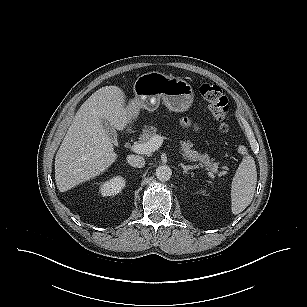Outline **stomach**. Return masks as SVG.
Returning <instances> with one entry per match:
<instances>
[{"label": "stomach", "mask_w": 307, "mask_h": 307, "mask_svg": "<svg viewBox=\"0 0 307 307\" xmlns=\"http://www.w3.org/2000/svg\"><path fill=\"white\" fill-rule=\"evenodd\" d=\"M133 91L135 97L126 106L131 113L130 121L139 115L141 108L156 110L161 100L174 112L187 111L194 101V91L189 83L180 77L155 71L139 76L133 85Z\"/></svg>", "instance_id": "stomach-1"}]
</instances>
